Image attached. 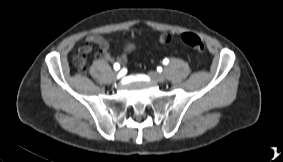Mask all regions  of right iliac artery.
I'll return each mask as SVG.
<instances>
[{"label":"right iliac artery","mask_w":283,"mask_h":162,"mask_svg":"<svg viewBox=\"0 0 283 162\" xmlns=\"http://www.w3.org/2000/svg\"><path fill=\"white\" fill-rule=\"evenodd\" d=\"M113 67H114L115 70H119L120 69L119 63H115Z\"/></svg>","instance_id":"obj_1"}]
</instances>
